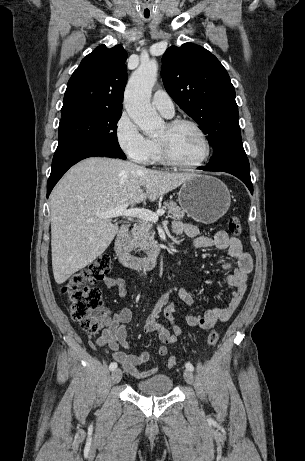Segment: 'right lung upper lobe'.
Returning <instances> with one entry per match:
<instances>
[{"label": "right lung upper lobe", "mask_w": 305, "mask_h": 461, "mask_svg": "<svg viewBox=\"0 0 305 461\" xmlns=\"http://www.w3.org/2000/svg\"><path fill=\"white\" fill-rule=\"evenodd\" d=\"M127 52L121 45L98 46L87 55L68 81L63 107L93 105L122 111L127 83Z\"/></svg>", "instance_id": "1"}]
</instances>
